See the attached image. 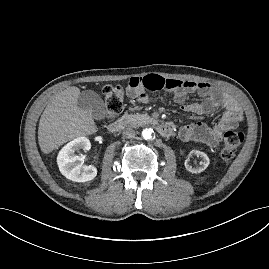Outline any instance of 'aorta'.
Wrapping results in <instances>:
<instances>
[{
    "label": "aorta",
    "instance_id": "762f6f07",
    "mask_svg": "<svg viewBox=\"0 0 269 269\" xmlns=\"http://www.w3.org/2000/svg\"><path fill=\"white\" fill-rule=\"evenodd\" d=\"M152 134H153V129L151 128H145L143 131H142V138L145 139V140H150L152 139Z\"/></svg>",
    "mask_w": 269,
    "mask_h": 269
}]
</instances>
